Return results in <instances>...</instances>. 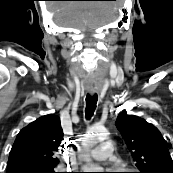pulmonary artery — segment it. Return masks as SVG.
<instances>
[{
    "label": "pulmonary artery",
    "mask_w": 173,
    "mask_h": 173,
    "mask_svg": "<svg viewBox=\"0 0 173 173\" xmlns=\"http://www.w3.org/2000/svg\"><path fill=\"white\" fill-rule=\"evenodd\" d=\"M113 151V145L110 141L100 143L98 147L87 154V157L95 161H105L110 158Z\"/></svg>",
    "instance_id": "obj_1"
}]
</instances>
